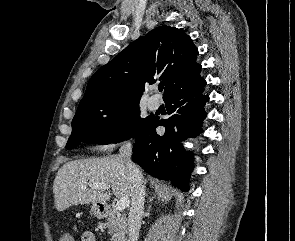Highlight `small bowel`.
<instances>
[{"instance_id": "small-bowel-1", "label": "small bowel", "mask_w": 295, "mask_h": 241, "mask_svg": "<svg viewBox=\"0 0 295 241\" xmlns=\"http://www.w3.org/2000/svg\"><path fill=\"white\" fill-rule=\"evenodd\" d=\"M81 239L82 241H96L94 234L90 231L84 232ZM59 241H62V237H60Z\"/></svg>"}]
</instances>
